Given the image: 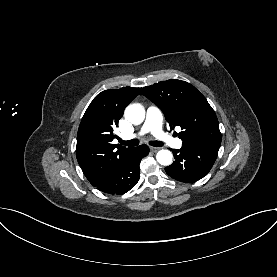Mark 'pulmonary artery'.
Instances as JSON below:
<instances>
[{
    "label": "pulmonary artery",
    "mask_w": 277,
    "mask_h": 277,
    "mask_svg": "<svg viewBox=\"0 0 277 277\" xmlns=\"http://www.w3.org/2000/svg\"><path fill=\"white\" fill-rule=\"evenodd\" d=\"M151 132L156 138L173 148H181L182 140L174 138L162 130V116L157 107L151 106L147 110L146 120L141 127L139 135Z\"/></svg>",
    "instance_id": "obj_1"
}]
</instances>
